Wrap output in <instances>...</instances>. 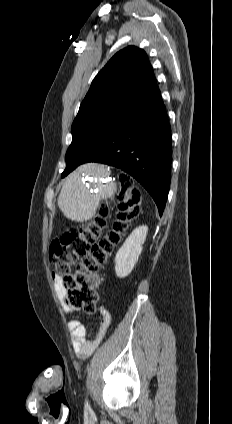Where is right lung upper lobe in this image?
I'll list each match as a JSON object with an SVG mask.
<instances>
[{
  "mask_svg": "<svg viewBox=\"0 0 232 424\" xmlns=\"http://www.w3.org/2000/svg\"><path fill=\"white\" fill-rule=\"evenodd\" d=\"M159 92L146 53L129 46L116 53L96 75L79 112L111 103L133 106Z\"/></svg>",
  "mask_w": 232,
  "mask_h": 424,
  "instance_id": "obj_1",
  "label": "right lung upper lobe"
}]
</instances>
